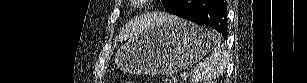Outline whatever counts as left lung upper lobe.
Here are the masks:
<instances>
[{"instance_id":"left-lung-upper-lobe-1","label":"left lung upper lobe","mask_w":307,"mask_h":83,"mask_svg":"<svg viewBox=\"0 0 307 83\" xmlns=\"http://www.w3.org/2000/svg\"><path fill=\"white\" fill-rule=\"evenodd\" d=\"M165 10L167 11L174 3V0H161Z\"/></svg>"}]
</instances>
